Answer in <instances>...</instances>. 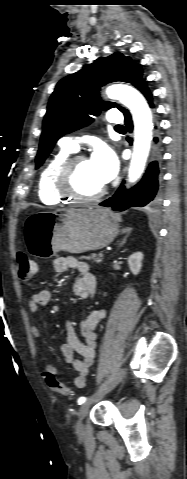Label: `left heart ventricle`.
Returning <instances> with one entry per match:
<instances>
[{
    "mask_svg": "<svg viewBox=\"0 0 187 479\" xmlns=\"http://www.w3.org/2000/svg\"><path fill=\"white\" fill-rule=\"evenodd\" d=\"M73 183L77 192L84 196L93 195L104 186L89 159L78 164Z\"/></svg>",
    "mask_w": 187,
    "mask_h": 479,
    "instance_id": "b2bd125f",
    "label": "left heart ventricle"
}]
</instances>
